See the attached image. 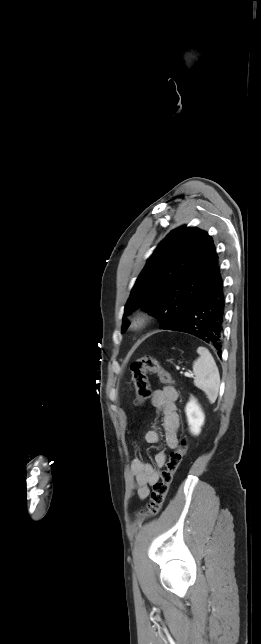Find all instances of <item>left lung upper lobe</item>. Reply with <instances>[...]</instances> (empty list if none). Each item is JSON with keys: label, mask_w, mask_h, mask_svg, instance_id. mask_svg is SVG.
I'll use <instances>...</instances> for the list:
<instances>
[{"label": "left lung upper lobe", "mask_w": 261, "mask_h": 644, "mask_svg": "<svg viewBox=\"0 0 261 644\" xmlns=\"http://www.w3.org/2000/svg\"><path fill=\"white\" fill-rule=\"evenodd\" d=\"M218 256L211 236L197 228L182 226L170 232L139 275L125 305L126 317L142 307L160 322V328L178 320L219 272Z\"/></svg>", "instance_id": "1"}]
</instances>
